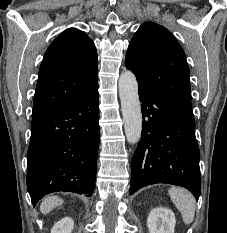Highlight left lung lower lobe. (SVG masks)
Here are the masks:
<instances>
[{"label": "left lung lower lobe", "instance_id": "0a47b994", "mask_svg": "<svg viewBox=\"0 0 227 233\" xmlns=\"http://www.w3.org/2000/svg\"><path fill=\"white\" fill-rule=\"evenodd\" d=\"M142 137L132 157L130 195L155 183L187 188L198 200L200 151L192 107L139 87Z\"/></svg>", "mask_w": 227, "mask_h": 233}]
</instances>
